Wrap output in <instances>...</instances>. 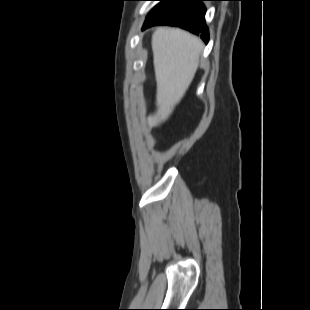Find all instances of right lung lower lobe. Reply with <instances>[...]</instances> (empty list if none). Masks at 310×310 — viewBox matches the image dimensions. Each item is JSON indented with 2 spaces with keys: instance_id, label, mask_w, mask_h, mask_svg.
<instances>
[{
  "instance_id": "obj_1",
  "label": "right lung lower lobe",
  "mask_w": 310,
  "mask_h": 310,
  "mask_svg": "<svg viewBox=\"0 0 310 310\" xmlns=\"http://www.w3.org/2000/svg\"><path fill=\"white\" fill-rule=\"evenodd\" d=\"M202 1L207 0H161L148 14L143 29L153 25L179 26L195 34L202 33L201 38L207 43L209 33Z\"/></svg>"
}]
</instances>
